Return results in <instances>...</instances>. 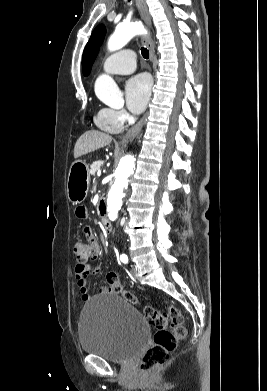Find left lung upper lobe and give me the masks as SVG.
Returning a JSON list of instances; mask_svg holds the SVG:
<instances>
[{"label":"left lung upper lobe","instance_id":"5c2ea615","mask_svg":"<svg viewBox=\"0 0 267 391\" xmlns=\"http://www.w3.org/2000/svg\"><path fill=\"white\" fill-rule=\"evenodd\" d=\"M106 33V29L104 25L97 26L84 49L83 57H82V69L85 76L90 73L91 66L98 54L99 47L102 44Z\"/></svg>","mask_w":267,"mask_h":391}]
</instances>
